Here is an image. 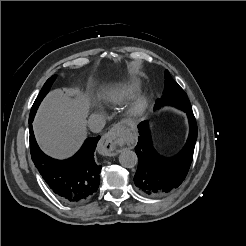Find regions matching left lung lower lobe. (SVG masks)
I'll list each match as a JSON object with an SVG mask.
<instances>
[{"label": "left lung lower lobe", "instance_id": "0a47b994", "mask_svg": "<svg viewBox=\"0 0 246 246\" xmlns=\"http://www.w3.org/2000/svg\"><path fill=\"white\" fill-rule=\"evenodd\" d=\"M157 108L159 107L156 104L155 109ZM182 110L189 119V136L183 149L171 158L159 155L154 149L148 122L138 125L139 137L135 151L139 163L134 182L146 195L161 196L174 190L188 173L197 139V124L191 106Z\"/></svg>", "mask_w": 246, "mask_h": 246}]
</instances>
